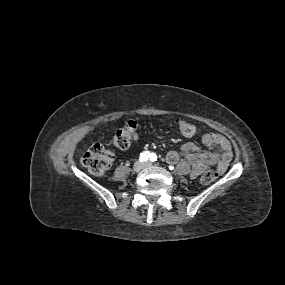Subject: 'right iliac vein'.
I'll return each mask as SVG.
<instances>
[{"mask_svg":"<svg viewBox=\"0 0 285 285\" xmlns=\"http://www.w3.org/2000/svg\"><path fill=\"white\" fill-rule=\"evenodd\" d=\"M143 167H144V164L142 162H140V161H137V162L134 163L133 170L135 172H139V171H141L143 169Z\"/></svg>","mask_w":285,"mask_h":285,"instance_id":"63e3f726","label":"right iliac vein"}]
</instances>
